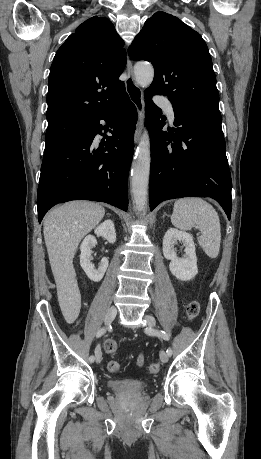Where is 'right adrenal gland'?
<instances>
[{
  "label": "right adrenal gland",
  "mask_w": 261,
  "mask_h": 459,
  "mask_svg": "<svg viewBox=\"0 0 261 459\" xmlns=\"http://www.w3.org/2000/svg\"><path fill=\"white\" fill-rule=\"evenodd\" d=\"M107 216L109 217V216H110V214L108 213V214H107Z\"/></svg>",
  "instance_id": "2a0ac1e0"
}]
</instances>
